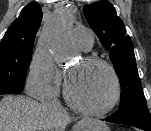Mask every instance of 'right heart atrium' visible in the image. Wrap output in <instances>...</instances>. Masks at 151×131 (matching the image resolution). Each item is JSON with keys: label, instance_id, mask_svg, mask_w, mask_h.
<instances>
[{"label": "right heart atrium", "instance_id": "1", "mask_svg": "<svg viewBox=\"0 0 151 131\" xmlns=\"http://www.w3.org/2000/svg\"><path fill=\"white\" fill-rule=\"evenodd\" d=\"M60 72L52 57L36 50L30 61L26 79L28 93L35 98H48L57 92Z\"/></svg>", "mask_w": 151, "mask_h": 131}]
</instances>
